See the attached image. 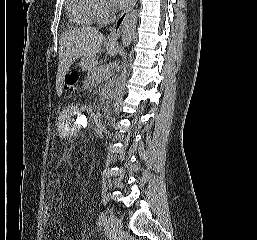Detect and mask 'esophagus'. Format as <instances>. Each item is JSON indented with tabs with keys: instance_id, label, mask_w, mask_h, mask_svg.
Returning a JSON list of instances; mask_svg holds the SVG:
<instances>
[{
	"instance_id": "esophagus-1",
	"label": "esophagus",
	"mask_w": 257,
	"mask_h": 240,
	"mask_svg": "<svg viewBox=\"0 0 257 240\" xmlns=\"http://www.w3.org/2000/svg\"><path fill=\"white\" fill-rule=\"evenodd\" d=\"M136 2H137V0H130L129 6L118 16L114 25L110 29V35L107 38L108 43H115L117 41V39L120 36L121 27H122L126 17L130 13V11L133 9V7L135 6Z\"/></svg>"
}]
</instances>
